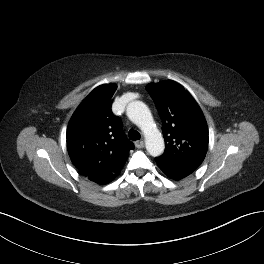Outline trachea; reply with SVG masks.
Returning a JSON list of instances; mask_svg holds the SVG:
<instances>
[{
    "label": "trachea",
    "mask_w": 264,
    "mask_h": 264,
    "mask_svg": "<svg viewBox=\"0 0 264 264\" xmlns=\"http://www.w3.org/2000/svg\"><path fill=\"white\" fill-rule=\"evenodd\" d=\"M128 135H129L130 140H133V141L139 140L141 137L140 133L133 129L129 130Z\"/></svg>",
    "instance_id": "1"
}]
</instances>
